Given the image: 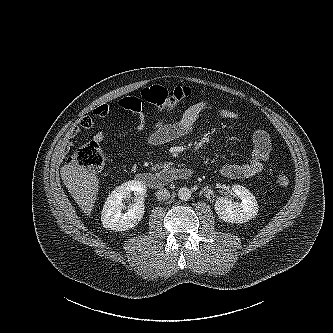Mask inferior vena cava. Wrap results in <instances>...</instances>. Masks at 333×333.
Wrapping results in <instances>:
<instances>
[{"label": "inferior vena cava", "instance_id": "1", "mask_svg": "<svg viewBox=\"0 0 333 333\" xmlns=\"http://www.w3.org/2000/svg\"><path fill=\"white\" fill-rule=\"evenodd\" d=\"M156 197L159 201L167 200L170 198V192L165 188H161L157 190Z\"/></svg>", "mask_w": 333, "mask_h": 333}]
</instances>
